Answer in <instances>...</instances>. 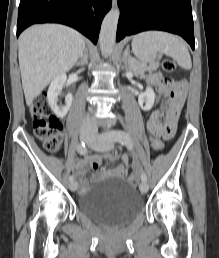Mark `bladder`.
<instances>
[{"instance_id":"31cf9c89","label":"bladder","mask_w":219,"mask_h":258,"mask_svg":"<svg viewBox=\"0 0 219 258\" xmlns=\"http://www.w3.org/2000/svg\"><path fill=\"white\" fill-rule=\"evenodd\" d=\"M79 210L111 226H121L143 209V198L136 189L120 178L106 176L78 198Z\"/></svg>"}]
</instances>
